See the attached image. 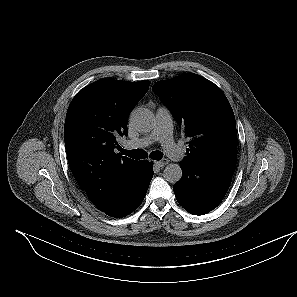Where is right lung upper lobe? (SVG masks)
Returning <instances> with one entry per match:
<instances>
[{
  "instance_id": "obj_1",
  "label": "right lung upper lobe",
  "mask_w": 297,
  "mask_h": 297,
  "mask_svg": "<svg viewBox=\"0 0 297 297\" xmlns=\"http://www.w3.org/2000/svg\"><path fill=\"white\" fill-rule=\"evenodd\" d=\"M150 81L98 80L71 101L64 139L73 176L102 212L113 207L141 172V161L116 153L127 136L130 111L148 91Z\"/></svg>"
}]
</instances>
